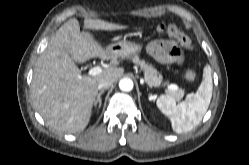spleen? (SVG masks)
<instances>
[{"label": "spleen", "mask_w": 249, "mask_h": 165, "mask_svg": "<svg viewBox=\"0 0 249 165\" xmlns=\"http://www.w3.org/2000/svg\"><path fill=\"white\" fill-rule=\"evenodd\" d=\"M211 72V67L207 64L203 70V80L193 97L177 105L175 99L168 94L157 99V107L170 118L176 133L191 131L207 112L213 90Z\"/></svg>", "instance_id": "spleen-1"}]
</instances>
